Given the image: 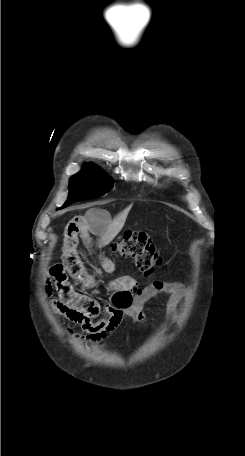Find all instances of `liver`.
I'll list each match as a JSON object with an SVG mask.
<instances>
[{
  "label": "liver",
  "instance_id": "liver-1",
  "mask_svg": "<svg viewBox=\"0 0 245 456\" xmlns=\"http://www.w3.org/2000/svg\"><path fill=\"white\" fill-rule=\"evenodd\" d=\"M131 207L132 206L130 205L124 209L120 214H118L113 220L109 222L104 232L101 234L100 239L98 240V247L101 248L108 245L118 235L125 224Z\"/></svg>",
  "mask_w": 245,
  "mask_h": 456
}]
</instances>
